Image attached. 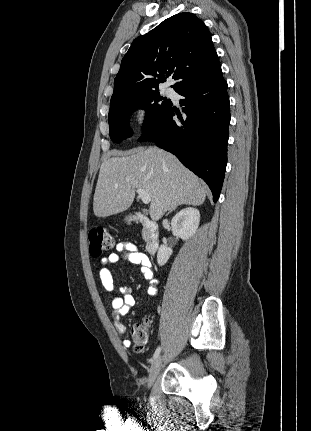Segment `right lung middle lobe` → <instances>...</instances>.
<instances>
[{
  "label": "right lung middle lobe",
  "mask_w": 311,
  "mask_h": 431,
  "mask_svg": "<svg viewBox=\"0 0 311 431\" xmlns=\"http://www.w3.org/2000/svg\"><path fill=\"white\" fill-rule=\"evenodd\" d=\"M172 102L160 96L158 90L135 93L111 99L109 110L110 138L119 143L132 136L133 132L128 123L133 111L143 108L146 118L143 128L164 113Z\"/></svg>",
  "instance_id": "right-lung-middle-lobe-1"
}]
</instances>
